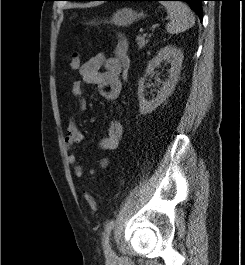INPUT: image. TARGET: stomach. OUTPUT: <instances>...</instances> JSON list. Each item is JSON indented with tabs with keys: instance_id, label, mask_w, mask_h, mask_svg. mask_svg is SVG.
<instances>
[{
	"instance_id": "1",
	"label": "stomach",
	"mask_w": 245,
	"mask_h": 265,
	"mask_svg": "<svg viewBox=\"0 0 245 265\" xmlns=\"http://www.w3.org/2000/svg\"><path fill=\"white\" fill-rule=\"evenodd\" d=\"M144 17V13H137L131 8H123L117 10L116 13L112 15L111 23L117 26H128L135 22L137 19ZM91 24H95V20L91 22Z\"/></svg>"
}]
</instances>
